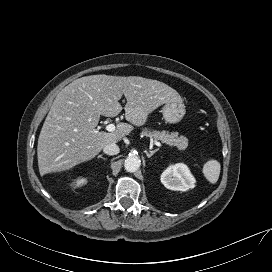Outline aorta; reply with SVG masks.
I'll return each mask as SVG.
<instances>
[{
	"label": "aorta",
	"mask_w": 272,
	"mask_h": 272,
	"mask_svg": "<svg viewBox=\"0 0 272 272\" xmlns=\"http://www.w3.org/2000/svg\"><path fill=\"white\" fill-rule=\"evenodd\" d=\"M140 165H141V160L139 157L135 155L128 156L124 162L125 170L130 173L137 171Z\"/></svg>",
	"instance_id": "aorta-1"
}]
</instances>
